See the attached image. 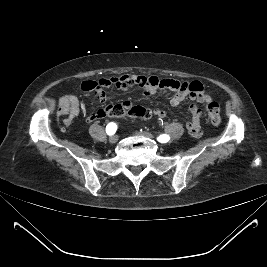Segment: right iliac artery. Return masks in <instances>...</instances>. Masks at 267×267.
Instances as JSON below:
<instances>
[{"mask_svg":"<svg viewBox=\"0 0 267 267\" xmlns=\"http://www.w3.org/2000/svg\"><path fill=\"white\" fill-rule=\"evenodd\" d=\"M117 130V125L113 122L109 123L107 126H106V133L108 135H113Z\"/></svg>","mask_w":267,"mask_h":267,"instance_id":"1","label":"right iliac artery"}]
</instances>
